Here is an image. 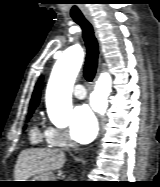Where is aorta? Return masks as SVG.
<instances>
[{
	"instance_id": "1",
	"label": "aorta",
	"mask_w": 160,
	"mask_h": 187,
	"mask_svg": "<svg viewBox=\"0 0 160 187\" xmlns=\"http://www.w3.org/2000/svg\"><path fill=\"white\" fill-rule=\"evenodd\" d=\"M82 62V49L73 46L63 52L53 67L46 90L47 110L53 121L60 120L72 108L73 86ZM111 87L112 79L109 73H101L90 97L91 106L96 112L105 113Z\"/></svg>"
}]
</instances>
